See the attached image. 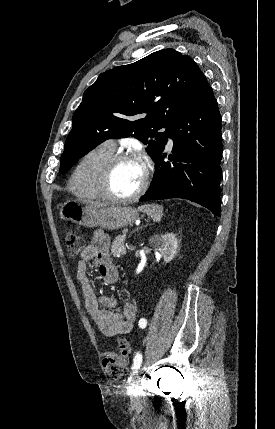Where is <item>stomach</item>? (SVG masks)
Instances as JSON below:
<instances>
[{
	"mask_svg": "<svg viewBox=\"0 0 275 429\" xmlns=\"http://www.w3.org/2000/svg\"><path fill=\"white\" fill-rule=\"evenodd\" d=\"M59 215L62 220H70L87 227L99 226L107 230H117L138 219L137 210L130 207L95 208L76 200H68L62 204Z\"/></svg>",
	"mask_w": 275,
	"mask_h": 429,
	"instance_id": "stomach-1",
	"label": "stomach"
}]
</instances>
